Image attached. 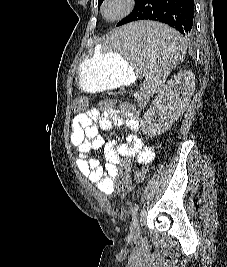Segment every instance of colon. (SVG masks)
I'll return each mask as SVG.
<instances>
[{"mask_svg":"<svg viewBox=\"0 0 227 267\" xmlns=\"http://www.w3.org/2000/svg\"><path fill=\"white\" fill-rule=\"evenodd\" d=\"M97 104H101V109H119V104H123V101L114 100H101L97 101ZM87 105V101L84 97H78L74 102V109L76 113H83V108ZM124 108V105H121ZM117 181V191L120 194H125L127 192H136V187H131V180L123 170V173H116Z\"/></svg>","mask_w":227,"mask_h":267,"instance_id":"colon-1","label":"colon"}]
</instances>
